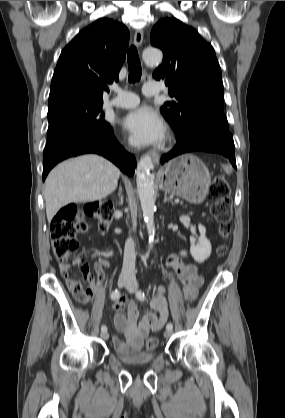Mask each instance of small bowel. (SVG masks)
<instances>
[{
    "mask_svg": "<svg viewBox=\"0 0 285 418\" xmlns=\"http://www.w3.org/2000/svg\"><path fill=\"white\" fill-rule=\"evenodd\" d=\"M187 254L182 252L178 255H171L167 258V266L170 270L175 272L180 280L183 281L182 294L186 299L196 298L199 289L204 283V278L199 273L197 267L192 263H184ZM106 263V261H102ZM73 267H79L83 273V280L87 284L90 293V298L100 293V288L91 276L89 265L86 261L80 258H73ZM64 280L67 286L72 290L75 283L69 274L64 275ZM85 304L84 302H80ZM87 303V302H86ZM123 298H119L113 305L116 312L115 325L116 328L124 333L127 342L124 343L117 336L112 337L114 348L121 352H129L131 350H139L142 341L148 336L151 331L160 329L168 317L167 302L163 296V289H158L151 299V306L153 311L143 315L139 322L140 312L134 302L127 304V314L123 313Z\"/></svg>",
    "mask_w": 285,
    "mask_h": 418,
    "instance_id": "1",
    "label": "small bowel"
}]
</instances>
